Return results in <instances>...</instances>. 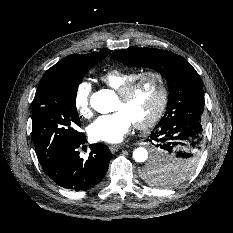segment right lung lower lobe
<instances>
[{"mask_svg": "<svg viewBox=\"0 0 233 233\" xmlns=\"http://www.w3.org/2000/svg\"><path fill=\"white\" fill-rule=\"evenodd\" d=\"M86 142L83 134L56 158L41 162L45 173L59 186L74 191H86L104 178L113 154L106 145L97 143L90 146L89 158L83 160L78 148L84 147Z\"/></svg>", "mask_w": 233, "mask_h": 233, "instance_id": "right-lung-lower-lobe-1", "label": "right lung lower lobe"}]
</instances>
